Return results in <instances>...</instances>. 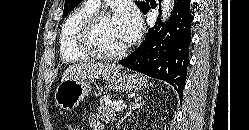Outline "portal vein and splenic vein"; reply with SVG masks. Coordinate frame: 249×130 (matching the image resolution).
Instances as JSON below:
<instances>
[{"label": "portal vein and splenic vein", "instance_id": "1", "mask_svg": "<svg viewBox=\"0 0 249 130\" xmlns=\"http://www.w3.org/2000/svg\"><path fill=\"white\" fill-rule=\"evenodd\" d=\"M124 108H126L125 104H119V105L116 106L115 111L116 112H121V111L124 110Z\"/></svg>", "mask_w": 249, "mask_h": 130}]
</instances>
